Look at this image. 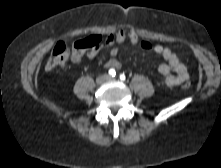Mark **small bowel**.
<instances>
[{
  "label": "small bowel",
  "mask_w": 221,
  "mask_h": 168,
  "mask_svg": "<svg viewBox=\"0 0 221 168\" xmlns=\"http://www.w3.org/2000/svg\"><path fill=\"white\" fill-rule=\"evenodd\" d=\"M138 43L142 50L153 51L165 60V63H161L158 66V71L163 76L164 84L166 86H177L188 79L189 74L186 66L184 65L180 57L176 55L171 49L160 44L152 45L149 41L146 40L139 41ZM114 44H112V47L110 49V54L112 57H115L119 52L118 47L113 46ZM98 49L99 48L90 50L87 56L89 58H94L98 53ZM104 66L110 69H120L121 63L117 59L112 58L106 61L104 63Z\"/></svg>",
  "instance_id": "1"
}]
</instances>
